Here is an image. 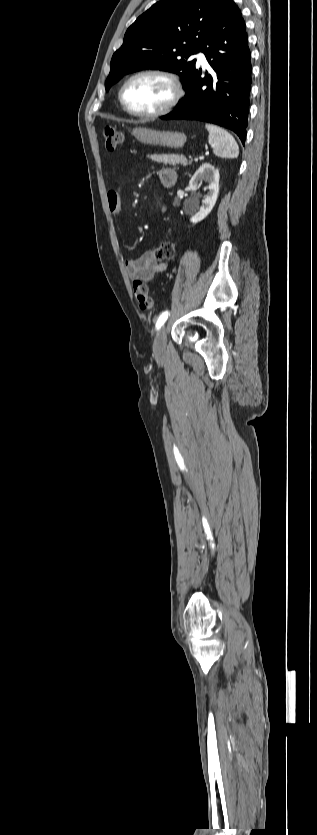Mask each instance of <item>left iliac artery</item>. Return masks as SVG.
Returning a JSON list of instances; mask_svg holds the SVG:
<instances>
[{
    "label": "left iliac artery",
    "mask_w": 317,
    "mask_h": 835,
    "mask_svg": "<svg viewBox=\"0 0 317 835\" xmlns=\"http://www.w3.org/2000/svg\"><path fill=\"white\" fill-rule=\"evenodd\" d=\"M168 315H169L168 311H164L160 314V316H159V318L156 322V329L157 330H159L164 325L165 321L168 318Z\"/></svg>",
    "instance_id": "left-iliac-artery-1"
}]
</instances>
